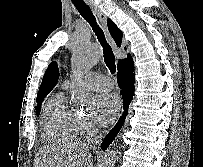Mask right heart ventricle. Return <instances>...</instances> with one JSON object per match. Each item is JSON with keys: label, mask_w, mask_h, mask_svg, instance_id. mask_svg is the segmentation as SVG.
I'll list each match as a JSON object with an SVG mask.
<instances>
[{"label": "right heart ventricle", "mask_w": 203, "mask_h": 167, "mask_svg": "<svg viewBox=\"0 0 203 167\" xmlns=\"http://www.w3.org/2000/svg\"><path fill=\"white\" fill-rule=\"evenodd\" d=\"M41 128L43 137L50 143H66L77 137L81 130L80 117L66 105L62 92L47 101Z\"/></svg>", "instance_id": "1"}]
</instances>
